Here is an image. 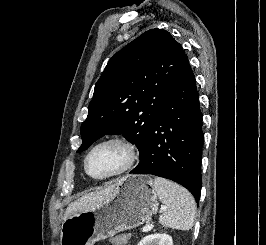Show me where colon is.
Returning <instances> with one entry per match:
<instances>
[{
  "mask_svg": "<svg viewBox=\"0 0 266 245\" xmlns=\"http://www.w3.org/2000/svg\"><path fill=\"white\" fill-rule=\"evenodd\" d=\"M127 239V235L123 234L118 238L119 243H123Z\"/></svg>",
  "mask_w": 266,
  "mask_h": 245,
  "instance_id": "obj_1",
  "label": "colon"
}]
</instances>
